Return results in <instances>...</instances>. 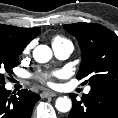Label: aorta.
<instances>
[{
    "label": "aorta",
    "mask_w": 118,
    "mask_h": 118,
    "mask_svg": "<svg viewBox=\"0 0 118 118\" xmlns=\"http://www.w3.org/2000/svg\"><path fill=\"white\" fill-rule=\"evenodd\" d=\"M33 58L38 63H46L52 58V50L47 45H38L33 50ZM55 107L59 112H69L72 108V101L65 96L58 97Z\"/></svg>",
    "instance_id": "762f6f07"
}]
</instances>
